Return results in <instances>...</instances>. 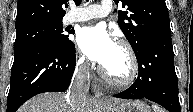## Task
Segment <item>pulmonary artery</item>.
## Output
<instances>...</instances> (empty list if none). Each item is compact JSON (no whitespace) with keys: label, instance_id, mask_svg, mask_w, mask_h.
I'll return each mask as SVG.
<instances>
[{"label":"pulmonary artery","instance_id":"pulmonary-artery-1","mask_svg":"<svg viewBox=\"0 0 193 112\" xmlns=\"http://www.w3.org/2000/svg\"><path fill=\"white\" fill-rule=\"evenodd\" d=\"M113 5L111 0H104L99 5H91L80 10L70 12L66 18V24L83 22L95 18L107 16L112 11Z\"/></svg>","mask_w":193,"mask_h":112}]
</instances>
